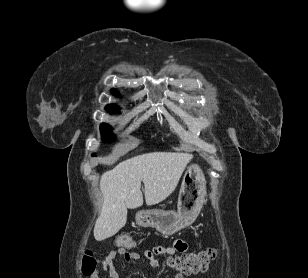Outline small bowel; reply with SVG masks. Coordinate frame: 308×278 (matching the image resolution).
Wrapping results in <instances>:
<instances>
[{"instance_id": "c3829d8e", "label": "small bowel", "mask_w": 308, "mask_h": 278, "mask_svg": "<svg viewBox=\"0 0 308 278\" xmlns=\"http://www.w3.org/2000/svg\"><path fill=\"white\" fill-rule=\"evenodd\" d=\"M188 249V244L181 239L176 240L171 245L158 244L151 249H144L140 252H129L126 249L119 247L116 250L109 252L105 259L101 262L103 270L106 272V278H119L115 267L114 260L117 258H122L126 262L132 263L137 262L141 258L148 259L152 266H156L157 261L155 259L158 255H170L173 256L177 253H184ZM92 278H98L97 273L92 276ZM174 278H184L183 274L177 273Z\"/></svg>"}]
</instances>
